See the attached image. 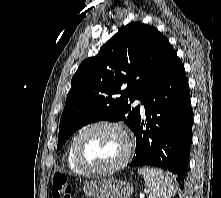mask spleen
<instances>
[{
	"label": "spleen",
	"mask_w": 221,
	"mask_h": 198,
	"mask_svg": "<svg viewBox=\"0 0 221 198\" xmlns=\"http://www.w3.org/2000/svg\"><path fill=\"white\" fill-rule=\"evenodd\" d=\"M138 173L143 176L148 198H172L175 195V185L167 173L151 167H142Z\"/></svg>",
	"instance_id": "3e777b00"
}]
</instances>
